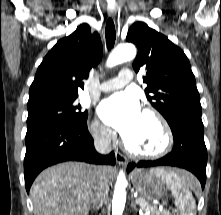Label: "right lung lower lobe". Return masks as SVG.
<instances>
[{
	"mask_svg": "<svg viewBox=\"0 0 221 215\" xmlns=\"http://www.w3.org/2000/svg\"><path fill=\"white\" fill-rule=\"evenodd\" d=\"M24 158L25 187L29 193L36 176L45 168L64 161H85L95 164H115V155H100L94 148L87 129L81 123L52 120L27 129Z\"/></svg>",
	"mask_w": 221,
	"mask_h": 215,
	"instance_id": "98d812e1",
	"label": "right lung lower lobe"
}]
</instances>
